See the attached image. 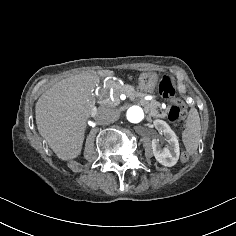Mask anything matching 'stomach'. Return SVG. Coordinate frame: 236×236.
I'll use <instances>...</instances> for the list:
<instances>
[{
  "label": "stomach",
  "mask_w": 236,
  "mask_h": 236,
  "mask_svg": "<svg viewBox=\"0 0 236 236\" xmlns=\"http://www.w3.org/2000/svg\"><path fill=\"white\" fill-rule=\"evenodd\" d=\"M158 84L156 72H143L139 77V88L144 92L153 93Z\"/></svg>",
  "instance_id": "0dacf381"
}]
</instances>
